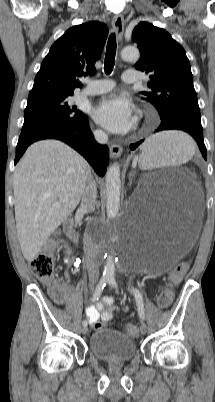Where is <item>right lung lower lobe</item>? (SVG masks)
Listing matches in <instances>:
<instances>
[{"label": "right lung lower lobe", "mask_w": 215, "mask_h": 402, "mask_svg": "<svg viewBox=\"0 0 215 402\" xmlns=\"http://www.w3.org/2000/svg\"><path fill=\"white\" fill-rule=\"evenodd\" d=\"M43 139H58L65 142L77 150L91 164L98 175L104 176L109 163V148L95 141L86 116L78 123L39 135L27 144L17 145L15 163L18 162L30 144Z\"/></svg>", "instance_id": "obj_1"}]
</instances>
